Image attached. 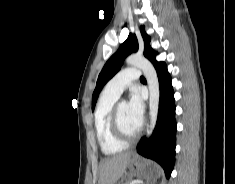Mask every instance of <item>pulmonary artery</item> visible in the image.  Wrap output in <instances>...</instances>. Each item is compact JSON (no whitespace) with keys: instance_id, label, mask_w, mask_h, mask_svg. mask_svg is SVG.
I'll use <instances>...</instances> for the list:
<instances>
[{"instance_id":"pulmonary-artery-1","label":"pulmonary artery","mask_w":235,"mask_h":184,"mask_svg":"<svg viewBox=\"0 0 235 184\" xmlns=\"http://www.w3.org/2000/svg\"><path fill=\"white\" fill-rule=\"evenodd\" d=\"M141 74V69L127 68L117 73L104 87L103 93L118 98L121 93Z\"/></svg>"}]
</instances>
